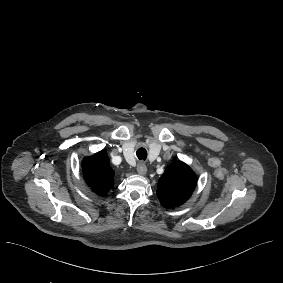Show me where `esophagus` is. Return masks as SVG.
<instances>
[{"label":"esophagus","instance_id":"obj_1","mask_svg":"<svg viewBox=\"0 0 283 283\" xmlns=\"http://www.w3.org/2000/svg\"><path fill=\"white\" fill-rule=\"evenodd\" d=\"M137 172L140 175H145L147 173V167L144 163H138L137 164Z\"/></svg>","mask_w":283,"mask_h":283}]
</instances>
